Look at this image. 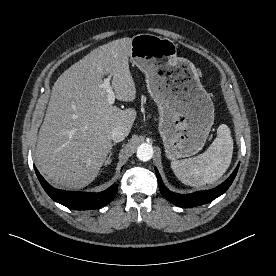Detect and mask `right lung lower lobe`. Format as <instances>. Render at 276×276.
I'll return each instance as SVG.
<instances>
[{
    "instance_id": "right-lung-lower-lobe-1",
    "label": "right lung lower lobe",
    "mask_w": 276,
    "mask_h": 276,
    "mask_svg": "<svg viewBox=\"0 0 276 276\" xmlns=\"http://www.w3.org/2000/svg\"><path fill=\"white\" fill-rule=\"evenodd\" d=\"M36 175L46 193L56 202L74 210L98 209L109 203L117 193L118 185L113 184L99 193L58 190L52 187L35 168Z\"/></svg>"
}]
</instances>
